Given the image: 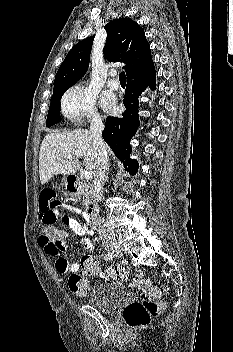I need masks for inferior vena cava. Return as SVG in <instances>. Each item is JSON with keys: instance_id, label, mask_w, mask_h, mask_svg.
Returning <instances> with one entry per match:
<instances>
[{"instance_id": "obj_1", "label": "inferior vena cava", "mask_w": 233, "mask_h": 352, "mask_svg": "<svg viewBox=\"0 0 233 352\" xmlns=\"http://www.w3.org/2000/svg\"><path fill=\"white\" fill-rule=\"evenodd\" d=\"M104 130V124L102 118L99 115H94L90 123V132L94 142L97 146L98 159L96 165V171L94 175V197L99 202L103 195V182L105 174L108 168V155L107 147L102 139V131ZM94 222L99 227V235L104 245L108 246L113 243V236L108 233L104 225V219L96 217Z\"/></svg>"}]
</instances>
